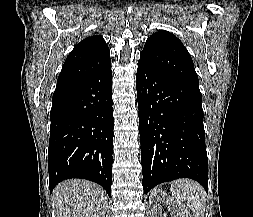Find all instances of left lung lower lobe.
<instances>
[{
    "instance_id": "0a47b994",
    "label": "left lung lower lobe",
    "mask_w": 253,
    "mask_h": 217,
    "mask_svg": "<svg viewBox=\"0 0 253 217\" xmlns=\"http://www.w3.org/2000/svg\"><path fill=\"white\" fill-rule=\"evenodd\" d=\"M136 89L144 193L178 178L208 191V159L199 87L180 81L140 57Z\"/></svg>"
}]
</instances>
